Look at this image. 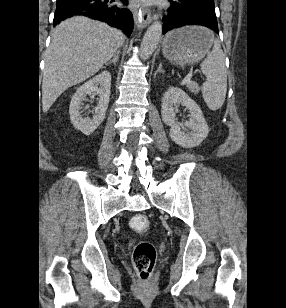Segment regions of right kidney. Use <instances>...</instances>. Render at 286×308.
Segmentation results:
<instances>
[{
	"label": "right kidney",
	"instance_id": "ca27d5eb",
	"mask_svg": "<svg viewBox=\"0 0 286 308\" xmlns=\"http://www.w3.org/2000/svg\"><path fill=\"white\" fill-rule=\"evenodd\" d=\"M110 89L111 74L108 71L101 72L77 89L72 96L69 107L70 120L76 129L85 135H91L98 128L105 118L109 104ZM93 93L99 95V102L93 110L92 119L83 118L80 112L82 101L87 95Z\"/></svg>",
	"mask_w": 286,
	"mask_h": 308
}]
</instances>
